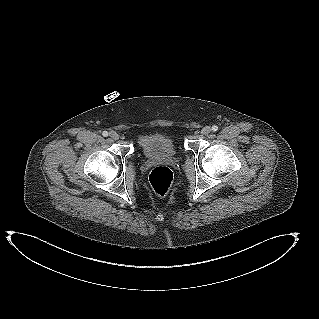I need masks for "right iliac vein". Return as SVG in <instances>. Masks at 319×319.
Wrapping results in <instances>:
<instances>
[{"label": "right iliac vein", "mask_w": 319, "mask_h": 319, "mask_svg": "<svg viewBox=\"0 0 319 319\" xmlns=\"http://www.w3.org/2000/svg\"><path fill=\"white\" fill-rule=\"evenodd\" d=\"M109 136H110L112 139H114V140H116V139L119 138L118 133H116L115 131H111V132L109 133Z\"/></svg>", "instance_id": "right-iliac-vein-1"}]
</instances>
